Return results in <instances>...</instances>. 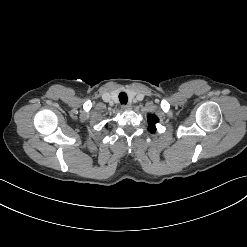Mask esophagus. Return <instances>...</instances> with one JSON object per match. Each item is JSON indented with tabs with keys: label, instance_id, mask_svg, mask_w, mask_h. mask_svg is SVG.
Here are the masks:
<instances>
[{
	"label": "esophagus",
	"instance_id": "esophagus-1",
	"mask_svg": "<svg viewBox=\"0 0 247 247\" xmlns=\"http://www.w3.org/2000/svg\"><path fill=\"white\" fill-rule=\"evenodd\" d=\"M131 108V105L130 104H124L122 105V109L123 110H127V109H130Z\"/></svg>",
	"mask_w": 247,
	"mask_h": 247
}]
</instances>
